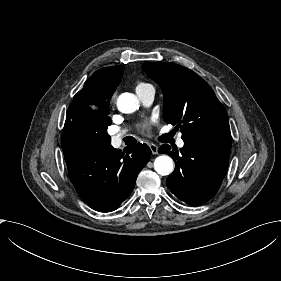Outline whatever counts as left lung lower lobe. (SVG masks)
<instances>
[{"label": "left lung lower lobe", "instance_id": "1", "mask_svg": "<svg viewBox=\"0 0 281 281\" xmlns=\"http://www.w3.org/2000/svg\"><path fill=\"white\" fill-rule=\"evenodd\" d=\"M170 149L167 144L159 148L175 161V170L166 181L170 191L191 206L210 200L226 175L231 140L185 141L181 154Z\"/></svg>", "mask_w": 281, "mask_h": 281}]
</instances>
